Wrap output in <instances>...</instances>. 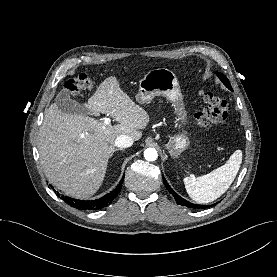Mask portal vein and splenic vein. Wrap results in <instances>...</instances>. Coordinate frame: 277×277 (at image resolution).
<instances>
[{
	"label": "portal vein and splenic vein",
	"mask_w": 277,
	"mask_h": 277,
	"mask_svg": "<svg viewBox=\"0 0 277 277\" xmlns=\"http://www.w3.org/2000/svg\"><path fill=\"white\" fill-rule=\"evenodd\" d=\"M110 122H111V119H110V118H105L104 123H105L106 125H109Z\"/></svg>",
	"instance_id": "1"
}]
</instances>
